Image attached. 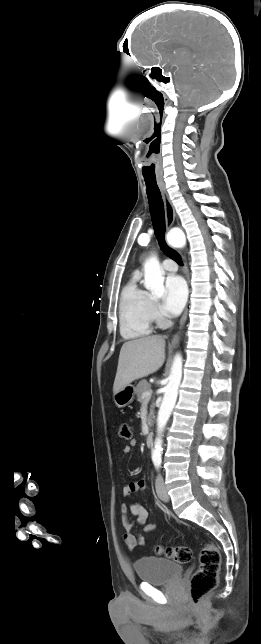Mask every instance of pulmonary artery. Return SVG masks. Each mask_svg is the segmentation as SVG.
<instances>
[{
    "mask_svg": "<svg viewBox=\"0 0 261 644\" xmlns=\"http://www.w3.org/2000/svg\"><path fill=\"white\" fill-rule=\"evenodd\" d=\"M162 265L164 270L166 271L173 272L177 270V265L173 260H170V259L165 260Z\"/></svg>",
    "mask_w": 261,
    "mask_h": 644,
    "instance_id": "e3ab8cb5",
    "label": "pulmonary artery"
}]
</instances>
